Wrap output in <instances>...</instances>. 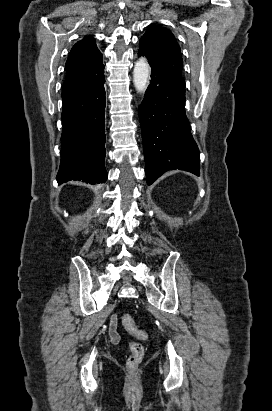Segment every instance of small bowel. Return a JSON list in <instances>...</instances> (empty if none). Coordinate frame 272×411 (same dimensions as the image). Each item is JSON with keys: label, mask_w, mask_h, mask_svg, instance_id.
Here are the masks:
<instances>
[{"label": "small bowel", "mask_w": 272, "mask_h": 411, "mask_svg": "<svg viewBox=\"0 0 272 411\" xmlns=\"http://www.w3.org/2000/svg\"><path fill=\"white\" fill-rule=\"evenodd\" d=\"M118 327V317L113 314L109 323V337L112 344L116 345L120 342V335L117 330Z\"/></svg>", "instance_id": "1"}]
</instances>
